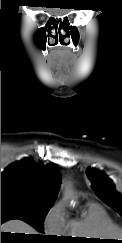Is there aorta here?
Segmentation results:
<instances>
[{"label":"aorta","instance_id":"aorta-1","mask_svg":"<svg viewBox=\"0 0 122 243\" xmlns=\"http://www.w3.org/2000/svg\"><path fill=\"white\" fill-rule=\"evenodd\" d=\"M65 196L72 199L73 191L69 183L65 184Z\"/></svg>","mask_w":122,"mask_h":243}]
</instances>
